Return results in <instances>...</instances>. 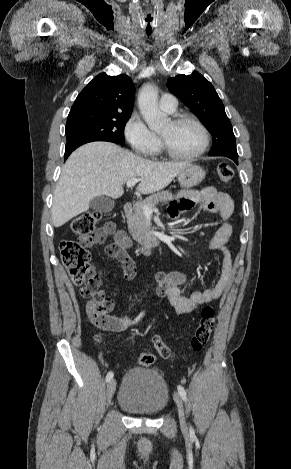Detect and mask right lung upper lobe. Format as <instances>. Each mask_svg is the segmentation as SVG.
Masks as SVG:
<instances>
[{"label":"right lung upper lobe","instance_id":"right-lung-upper-lobe-1","mask_svg":"<svg viewBox=\"0 0 291 469\" xmlns=\"http://www.w3.org/2000/svg\"><path fill=\"white\" fill-rule=\"evenodd\" d=\"M134 86L125 75H97L77 96L70 113L100 111L131 114L134 102Z\"/></svg>","mask_w":291,"mask_h":469}]
</instances>
